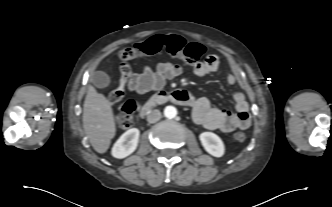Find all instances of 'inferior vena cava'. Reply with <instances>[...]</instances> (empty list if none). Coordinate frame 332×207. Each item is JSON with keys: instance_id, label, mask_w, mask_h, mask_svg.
I'll return each instance as SVG.
<instances>
[{"instance_id": "602c4592", "label": "inferior vena cava", "mask_w": 332, "mask_h": 207, "mask_svg": "<svg viewBox=\"0 0 332 207\" xmlns=\"http://www.w3.org/2000/svg\"><path fill=\"white\" fill-rule=\"evenodd\" d=\"M160 119H161V112L159 110H153V111L149 112V114L147 116V121L149 123H155Z\"/></svg>"}]
</instances>
